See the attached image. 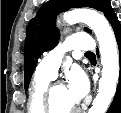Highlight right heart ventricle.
Listing matches in <instances>:
<instances>
[{"instance_id":"e07e8e85","label":"right heart ventricle","mask_w":121,"mask_h":113,"mask_svg":"<svg viewBox=\"0 0 121 113\" xmlns=\"http://www.w3.org/2000/svg\"><path fill=\"white\" fill-rule=\"evenodd\" d=\"M51 79L48 76L36 72L29 99V109L46 110L45 91Z\"/></svg>"}]
</instances>
